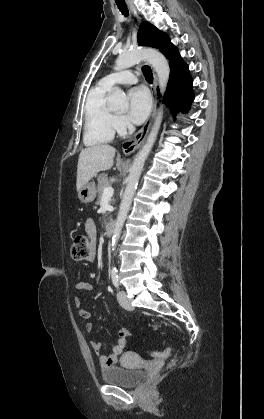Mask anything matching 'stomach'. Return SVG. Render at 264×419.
I'll list each match as a JSON object with an SVG mask.
<instances>
[{"mask_svg":"<svg viewBox=\"0 0 264 419\" xmlns=\"http://www.w3.org/2000/svg\"><path fill=\"white\" fill-rule=\"evenodd\" d=\"M96 192L95 183L88 182L78 191V197L82 203H90L95 199Z\"/></svg>","mask_w":264,"mask_h":419,"instance_id":"stomach-1","label":"stomach"}]
</instances>
